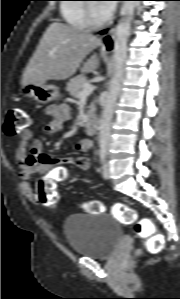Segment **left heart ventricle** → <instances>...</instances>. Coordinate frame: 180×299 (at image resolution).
<instances>
[{
	"mask_svg": "<svg viewBox=\"0 0 180 299\" xmlns=\"http://www.w3.org/2000/svg\"><path fill=\"white\" fill-rule=\"evenodd\" d=\"M93 9L97 19H102L106 17V15L103 13V11L100 8V4H93Z\"/></svg>",
	"mask_w": 180,
	"mask_h": 299,
	"instance_id": "obj_1",
	"label": "left heart ventricle"
}]
</instances>
